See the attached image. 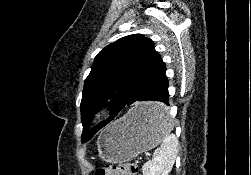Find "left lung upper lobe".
<instances>
[{
	"label": "left lung upper lobe",
	"mask_w": 251,
	"mask_h": 175,
	"mask_svg": "<svg viewBox=\"0 0 251 175\" xmlns=\"http://www.w3.org/2000/svg\"><path fill=\"white\" fill-rule=\"evenodd\" d=\"M161 60L153 41L141 34L123 37L98 53L80 105L83 143L104 126L100 123L89 131L92 113L105 105L126 103L136 84Z\"/></svg>",
	"instance_id": "left-lung-upper-lobe-1"
}]
</instances>
